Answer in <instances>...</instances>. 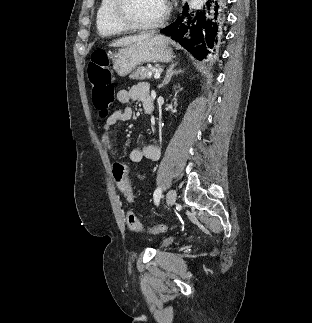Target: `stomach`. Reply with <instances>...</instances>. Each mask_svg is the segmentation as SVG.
<instances>
[{"label": "stomach", "instance_id": "1", "mask_svg": "<svg viewBox=\"0 0 312 323\" xmlns=\"http://www.w3.org/2000/svg\"><path fill=\"white\" fill-rule=\"evenodd\" d=\"M171 40L167 36H153L148 40L132 42L117 50L112 58L113 70L118 76H128L136 66L148 64V62H171Z\"/></svg>", "mask_w": 312, "mask_h": 323}]
</instances>
